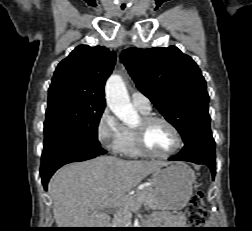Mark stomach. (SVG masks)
<instances>
[{
	"instance_id": "1",
	"label": "stomach",
	"mask_w": 252,
	"mask_h": 231,
	"mask_svg": "<svg viewBox=\"0 0 252 231\" xmlns=\"http://www.w3.org/2000/svg\"><path fill=\"white\" fill-rule=\"evenodd\" d=\"M155 207L160 210H181L191 198L195 174L182 162H171L152 174Z\"/></svg>"
}]
</instances>
